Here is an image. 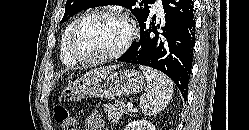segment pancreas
<instances>
[{"mask_svg": "<svg viewBox=\"0 0 249 130\" xmlns=\"http://www.w3.org/2000/svg\"><path fill=\"white\" fill-rule=\"evenodd\" d=\"M104 111L107 112L108 120H112L113 123H116L124 114H127L129 110H127L122 100H116L113 104L105 105Z\"/></svg>", "mask_w": 249, "mask_h": 130, "instance_id": "obj_1", "label": "pancreas"}]
</instances>
